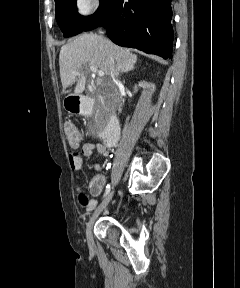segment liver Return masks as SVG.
Instances as JSON below:
<instances>
[{
    "label": "liver",
    "mask_w": 240,
    "mask_h": 288,
    "mask_svg": "<svg viewBox=\"0 0 240 288\" xmlns=\"http://www.w3.org/2000/svg\"><path fill=\"white\" fill-rule=\"evenodd\" d=\"M112 58L115 67L136 62V55L129 49L119 47L110 40L93 33L82 34L72 42L62 46L59 55L60 77L64 89L77 82L74 95L85 90L86 77L79 71L87 69V65L110 76L109 58Z\"/></svg>",
    "instance_id": "1"
}]
</instances>
